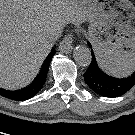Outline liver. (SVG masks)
Segmentation results:
<instances>
[{"label":"liver","instance_id":"1","mask_svg":"<svg viewBox=\"0 0 135 135\" xmlns=\"http://www.w3.org/2000/svg\"><path fill=\"white\" fill-rule=\"evenodd\" d=\"M82 17L72 0H0V87L28 85L51 50L47 39Z\"/></svg>","mask_w":135,"mask_h":135}]
</instances>
